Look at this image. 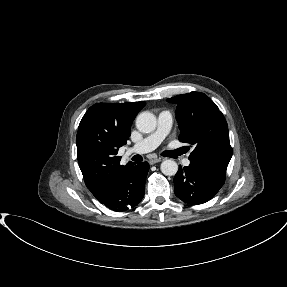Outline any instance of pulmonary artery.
Wrapping results in <instances>:
<instances>
[{
	"instance_id": "e3ab8cb5",
	"label": "pulmonary artery",
	"mask_w": 287,
	"mask_h": 287,
	"mask_svg": "<svg viewBox=\"0 0 287 287\" xmlns=\"http://www.w3.org/2000/svg\"><path fill=\"white\" fill-rule=\"evenodd\" d=\"M172 126V113L169 110H163L158 115L157 128L149 136L127 149V154L147 153L160 145L163 139L168 135ZM190 160L184 159L183 165L189 166Z\"/></svg>"
}]
</instances>
